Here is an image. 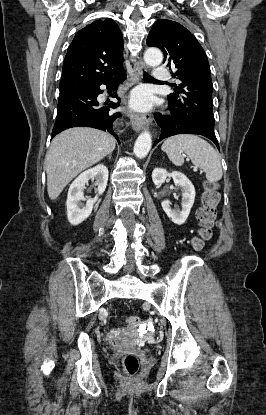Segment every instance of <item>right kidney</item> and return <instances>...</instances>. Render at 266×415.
<instances>
[{
	"mask_svg": "<svg viewBox=\"0 0 266 415\" xmlns=\"http://www.w3.org/2000/svg\"><path fill=\"white\" fill-rule=\"evenodd\" d=\"M95 180L97 186L96 196L89 198L86 204L81 201L85 200L83 190L89 180ZM108 181V169L103 164H99L91 169L81 173L70 185L66 201L67 217L72 225H78L86 220L92 213L94 204L98 201L99 196L105 191Z\"/></svg>",
	"mask_w": 266,
	"mask_h": 415,
	"instance_id": "1",
	"label": "right kidney"
}]
</instances>
